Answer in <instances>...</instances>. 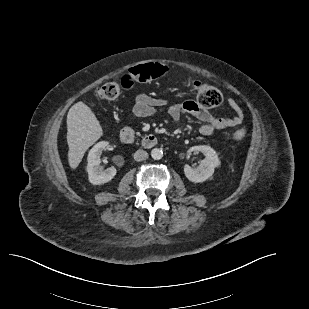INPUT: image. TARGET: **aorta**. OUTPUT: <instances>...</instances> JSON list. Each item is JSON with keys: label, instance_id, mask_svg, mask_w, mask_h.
Returning a JSON list of instances; mask_svg holds the SVG:
<instances>
[{"label": "aorta", "instance_id": "762f6f07", "mask_svg": "<svg viewBox=\"0 0 309 309\" xmlns=\"http://www.w3.org/2000/svg\"><path fill=\"white\" fill-rule=\"evenodd\" d=\"M151 157H152L154 160H160V159H162V157H163V151H162V149H160V148H154V149H152V151H151Z\"/></svg>", "mask_w": 309, "mask_h": 309}]
</instances>
